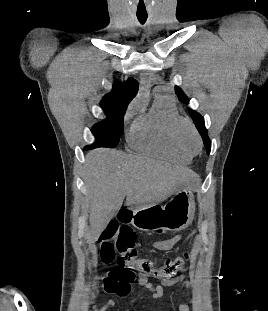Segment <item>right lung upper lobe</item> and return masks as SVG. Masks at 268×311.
I'll use <instances>...</instances> for the list:
<instances>
[{
	"instance_id": "right-lung-upper-lobe-1",
	"label": "right lung upper lobe",
	"mask_w": 268,
	"mask_h": 311,
	"mask_svg": "<svg viewBox=\"0 0 268 311\" xmlns=\"http://www.w3.org/2000/svg\"><path fill=\"white\" fill-rule=\"evenodd\" d=\"M138 88L139 84L133 78L123 83L114 81L112 91L103 97L100 105L112 110L126 111L128 104L136 96Z\"/></svg>"
}]
</instances>
